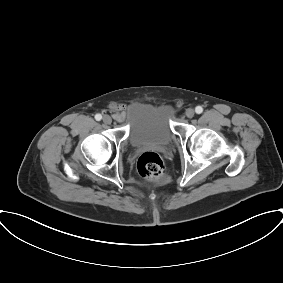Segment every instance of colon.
<instances>
[{
	"label": "colon",
	"instance_id": "colon-1",
	"mask_svg": "<svg viewBox=\"0 0 283 283\" xmlns=\"http://www.w3.org/2000/svg\"><path fill=\"white\" fill-rule=\"evenodd\" d=\"M139 174L146 180L158 181L165 174V166L161 157L152 151L144 152L138 159Z\"/></svg>",
	"mask_w": 283,
	"mask_h": 283
}]
</instances>
